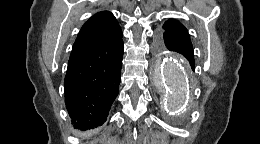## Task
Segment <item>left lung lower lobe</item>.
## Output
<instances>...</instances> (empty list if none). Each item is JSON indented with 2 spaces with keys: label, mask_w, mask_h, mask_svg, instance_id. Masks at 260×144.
Wrapping results in <instances>:
<instances>
[{
  "label": "left lung lower lobe",
  "mask_w": 260,
  "mask_h": 144,
  "mask_svg": "<svg viewBox=\"0 0 260 144\" xmlns=\"http://www.w3.org/2000/svg\"><path fill=\"white\" fill-rule=\"evenodd\" d=\"M158 40L165 44L168 50L181 53L189 61L191 68L195 69L193 47L190 37L183 34L164 32L160 33Z\"/></svg>",
  "instance_id": "1"
}]
</instances>
